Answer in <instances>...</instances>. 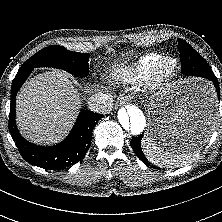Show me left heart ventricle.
Returning <instances> with one entry per match:
<instances>
[{
	"instance_id": "1",
	"label": "left heart ventricle",
	"mask_w": 222,
	"mask_h": 222,
	"mask_svg": "<svg viewBox=\"0 0 222 222\" xmlns=\"http://www.w3.org/2000/svg\"><path fill=\"white\" fill-rule=\"evenodd\" d=\"M169 67V65H166V68H168Z\"/></svg>"
}]
</instances>
